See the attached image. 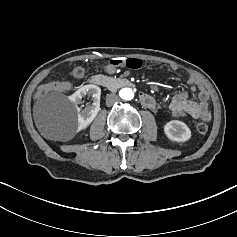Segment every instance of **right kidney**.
Listing matches in <instances>:
<instances>
[{
	"label": "right kidney",
	"instance_id": "ca27d5eb",
	"mask_svg": "<svg viewBox=\"0 0 237 237\" xmlns=\"http://www.w3.org/2000/svg\"><path fill=\"white\" fill-rule=\"evenodd\" d=\"M100 95L101 90L96 85H85L78 89L73 95L69 97L77 107V132H80L94 121L100 110ZM88 96L93 98V103H88L84 109H80L78 104L81 103L82 98Z\"/></svg>",
	"mask_w": 237,
	"mask_h": 237
}]
</instances>
